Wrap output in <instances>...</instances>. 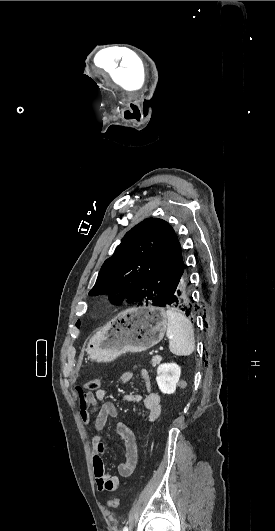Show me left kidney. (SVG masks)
<instances>
[{
  "label": "left kidney",
  "mask_w": 275,
  "mask_h": 531,
  "mask_svg": "<svg viewBox=\"0 0 275 531\" xmlns=\"http://www.w3.org/2000/svg\"><path fill=\"white\" fill-rule=\"evenodd\" d=\"M180 375L181 369L176 363H163V365H159L156 381L161 393H166V395L175 393Z\"/></svg>",
  "instance_id": "obj_1"
}]
</instances>
